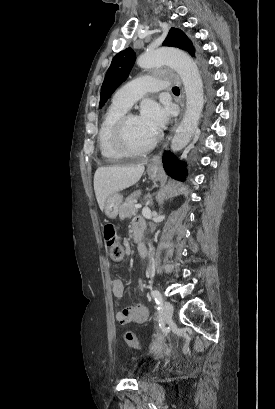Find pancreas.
Segmentation results:
<instances>
[{"mask_svg":"<svg viewBox=\"0 0 275 409\" xmlns=\"http://www.w3.org/2000/svg\"><path fill=\"white\" fill-rule=\"evenodd\" d=\"M140 194V190H135V192H132L130 196H127L125 202H123V205L120 207L119 211V217L120 219H126V217H132V215H135L137 209H135V200L138 198Z\"/></svg>","mask_w":275,"mask_h":409,"instance_id":"cf45deb5","label":"pancreas"}]
</instances>
